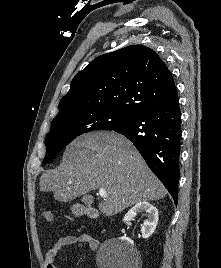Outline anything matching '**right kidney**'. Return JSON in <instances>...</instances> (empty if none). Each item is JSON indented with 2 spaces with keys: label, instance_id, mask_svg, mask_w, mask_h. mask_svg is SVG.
Here are the masks:
<instances>
[{
  "label": "right kidney",
  "instance_id": "1",
  "mask_svg": "<svg viewBox=\"0 0 221 268\" xmlns=\"http://www.w3.org/2000/svg\"><path fill=\"white\" fill-rule=\"evenodd\" d=\"M147 213L148 219H146L141 227L142 238H149L154 232L157 222H158V210L156 207L150 203L143 201L136 204L128 213H126L123 221L128 222L132 220L138 213ZM123 242L127 244H133V241L128 237L120 238Z\"/></svg>",
  "mask_w": 221,
  "mask_h": 268
}]
</instances>
